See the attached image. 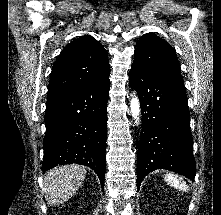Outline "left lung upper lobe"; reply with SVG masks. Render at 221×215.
<instances>
[{"label": "left lung upper lobe", "mask_w": 221, "mask_h": 215, "mask_svg": "<svg viewBox=\"0 0 221 215\" xmlns=\"http://www.w3.org/2000/svg\"><path fill=\"white\" fill-rule=\"evenodd\" d=\"M133 65L169 81L183 84L174 49L155 34L147 33L139 39Z\"/></svg>", "instance_id": "5c2ea615"}]
</instances>
